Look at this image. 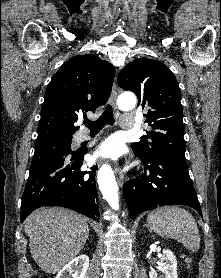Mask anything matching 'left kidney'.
Returning <instances> with one entry per match:
<instances>
[{
  "label": "left kidney",
  "mask_w": 221,
  "mask_h": 278,
  "mask_svg": "<svg viewBox=\"0 0 221 278\" xmlns=\"http://www.w3.org/2000/svg\"><path fill=\"white\" fill-rule=\"evenodd\" d=\"M158 268L160 271H162L163 275L158 276L157 271L152 269L149 272V278H178L177 260L172 251L169 249L163 250L162 261Z\"/></svg>",
  "instance_id": "left-kidney-1"
}]
</instances>
